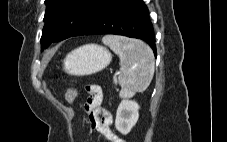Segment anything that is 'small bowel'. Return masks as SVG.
Here are the masks:
<instances>
[{
	"label": "small bowel",
	"mask_w": 227,
	"mask_h": 142,
	"mask_svg": "<svg viewBox=\"0 0 227 142\" xmlns=\"http://www.w3.org/2000/svg\"><path fill=\"white\" fill-rule=\"evenodd\" d=\"M85 91L89 98L82 109L90 126L103 135L108 142H126L110 129L113 118L109 111L101 107L103 99L101 88L97 85H89L85 87Z\"/></svg>",
	"instance_id": "small-bowel-1"
}]
</instances>
